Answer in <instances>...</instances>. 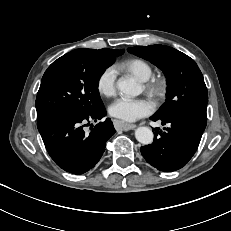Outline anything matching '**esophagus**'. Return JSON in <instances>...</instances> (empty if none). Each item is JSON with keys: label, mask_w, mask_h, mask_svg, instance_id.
<instances>
[{"label": "esophagus", "mask_w": 231, "mask_h": 231, "mask_svg": "<svg viewBox=\"0 0 231 231\" xmlns=\"http://www.w3.org/2000/svg\"><path fill=\"white\" fill-rule=\"evenodd\" d=\"M114 126L117 130H123V131L132 130L136 127L135 124H129L123 122H116Z\"/></svg>", "instance_id": "34e87169"}]
</instances>
